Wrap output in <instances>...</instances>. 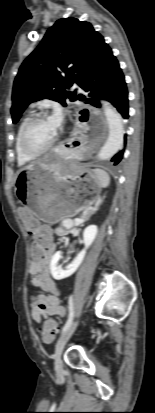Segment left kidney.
Segmentation results:
<instances>
[{"instance_id":"obj_1","label":"left kidney","mask_w":155,"mask_h":413,"mask_svg":"<svg viewBox=\"0 0 155 413\" xmlns=\"http://www.w3.org/2000/svg\"><path fill=\"white\" fill-rule=\"evenodd\" d=\"M97 235V226L96 225H89L85 228L83 232V242H84V249L77 255V257L73 260L71 264H69L66 269H62L58 266L59 260L62 258V254L60 251H57L51 259L50 263V270L51 274L54 279L62 280L71 276L80 266L82 261L84 260L86 250L91 246L95 237Z\"/></svg>"}]
</instances>
